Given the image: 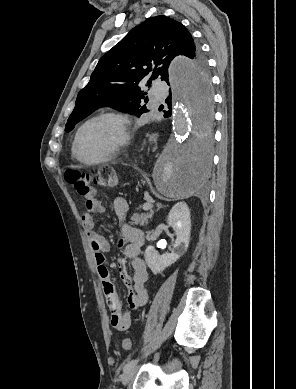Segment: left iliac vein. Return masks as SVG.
Returning <instances> with one entry per match:
<instances>
[{
  "instance_id": "4c4485c4",
  "label": "left iliac vein",
  "mask_w": 296,
  "mask_h": 389,
  "mask_svg": "<svg viewBox=\"0 0 296 389\" xmlns=\"http://www.w3.org/2000/svg\"><path fill=\"white\" fill-rule=\"evenodd\" d=\"M136 371H137L136 366H133L132 368L125 371V374L122 378V384L127 385L134 378Z\"/></svg>"
}]
</instances>
